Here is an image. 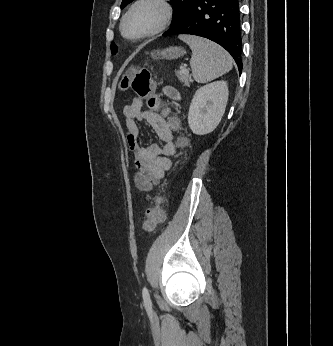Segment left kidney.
<instances>
[{"instance_id":"left-kidney-1","label":"left kidney","mask_w":333,"mask_h":346,"mask_svg":"<svg viewBox=\"0 0 333 346\" xmlns=\"http://www.w3.org/2000/svg\"><path fill=\"white\" fill-rule=\"evenodd\" d=\"M228 95L225 81L209 83L195 92L188 113V124L194 134L214 131L225 112Z\"/></svg>"}]
</instances>
